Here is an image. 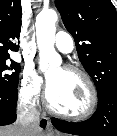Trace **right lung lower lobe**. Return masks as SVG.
I'll return each mask as SVG.
<instances>
[{
  "label": "right lung lower lobe",
  "mask_w": 117,
  "mask_h": 136,
  "mask_svg": "<svg viewBox=\"0 0 117 136\" xmlns=\"http://www.w3.org/2000/svg\"><path fill=\"white\" fill-rule=\"evenodd\" d=\"M17 89H0V126L8 125L16 120ZM46 120L41 121L45 127Z\"/></svg>",
  "instance_id": "right-lung-lower-lobe-1"
}]
</instances>
